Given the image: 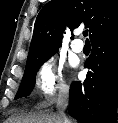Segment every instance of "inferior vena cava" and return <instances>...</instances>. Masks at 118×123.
I'll return each instance as SVG.
<instances>
[{
    "mask_svg": "<svg viewBox=\"0 0 118 123\" xmlns=\"http://www.w3.org/2000/svg\"><path fill=\"white\" fill-rule=\"evenodd\" d=\"M69 98V87L62 86L59 91L58 101H57V114L62 120V123H71L70 120L65 116V109L68 106Z\"/></svg>",
    "mask_w": 118,
    "mask_h": 123,
    "instance_id": "1",
    "label": "inferior vena cava"
}]
</instances>
